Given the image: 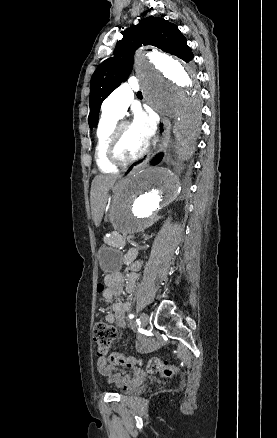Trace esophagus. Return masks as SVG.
<instances>
[{
	"instance_id": "1",
	"label": "esophagus",
	"mask_w": 277,
	"mask_h": 438,
	"mask_svg": "<svg viewBox=\"0 0 277 438\" xmlns=\"http://www.w3.org/2000/svg\"><path fill=\"white\" fill-rule=\"evenodd\" d=\"M171 133V122L169 118L161 116L160 122L158 124V147L160 150H165L169 144Z\"/></svg>"
}]
</instances>
